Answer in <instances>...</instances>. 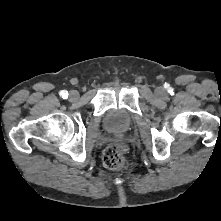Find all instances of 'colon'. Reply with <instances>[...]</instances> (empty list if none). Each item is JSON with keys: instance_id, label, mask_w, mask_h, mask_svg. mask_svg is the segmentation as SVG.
Returning a JSON list of instances; mask_svg holds the SVG:
<instances>
[{"instance_id": "colon-1", "label": "colon", "mask_w": 221, "mask_h": 221, "mask_svg": "<svg viewBox=\"0 0 221 221\" xmlns=\"http://www.w3.org/2000/svg\"><path fill=\"white\" fill-rule=\"evenodd\" d=\"M127 147L124 143L113 142L107 146L103 155L104 165L110 169L121 170L128 166Z\"/></svg>"}]
</instances>
